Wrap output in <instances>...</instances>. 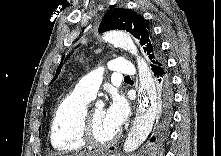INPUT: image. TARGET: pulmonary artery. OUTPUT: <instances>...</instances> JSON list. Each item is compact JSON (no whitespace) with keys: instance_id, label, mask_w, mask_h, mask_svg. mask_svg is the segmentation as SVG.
Returning a JSON list of instances; mask_svg holds the SVG:
<instances>
[{"instance_id":"obj_1","label":"pulmonary artery","mask_w":221,"mask_h":156,"mask_svg":"<svg viewBox=\"0 0 221 156\" xmlns=\"http://www.w3.org/2000/svg\"><path fill=\"white\" fill-rule=\"evenodd\" d=\"M108 70L124 76H130L135 73L134 65L125 58H116L109 62ZM103 68H98L84 76L76 84L75 89L90 97L94 98L103 80Z\"/></svg>"}]
</instances>
